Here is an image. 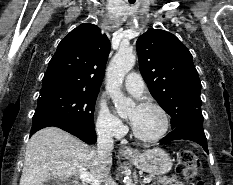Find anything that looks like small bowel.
<instances>
[{
  "instance_id": "obj_1",
  "label": "small bowel",
  "mask_w": 233,
  "mask_h": 185,
  "mask_svg": "<svg viewBox=\"0 0 233 185\" xmlns=\"http://www.w3.org/2000/svg\"><path fill=\"white\" fill-rule=\"evenodd\" d=\"M173 185H185V184L183 182L178 181V182L174 183Z\"/></svg>"
}]
</instances>
